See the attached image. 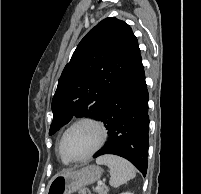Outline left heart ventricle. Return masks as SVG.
<instances>
[{
    "instance_id": "b2bd125f",
    "label": "left heart ventricle",
    "mask_w": 201,
    "mask_h": 194,
    "mask_svg": "<svg viewBox=\"0 0 201 194\" xmlns=\"http://www.w3.org/2000/svg\"><path fill=\"white\" fill-rule=\"evenodd\" d=\"M98 141L97 130L87 124L71 129L64 138L62 150L69 158H80L90 152Z\"/></svg>"
}]
</instances>
